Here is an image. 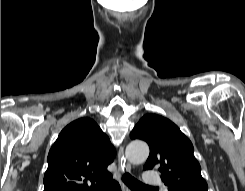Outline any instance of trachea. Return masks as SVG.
I'll return each mask as SVG.
<instances>
[{"instance_id":"obj_1","label":"trachea","mask_w":245,"mask_h":191,"mask_svg":"<svg viewBox=\"0 0 245 191\" xmlns=\"http://www.w3.org/2000/svg\"><path fill=\"white\" fill-rule=\"evenodd\" d=\"M122 180L128 185V187H130L132 190L135 191L151 188L143 184L142 182L138 181L127 172L124 173V175L122 176Z\"/></svg>"}]
</instances>
